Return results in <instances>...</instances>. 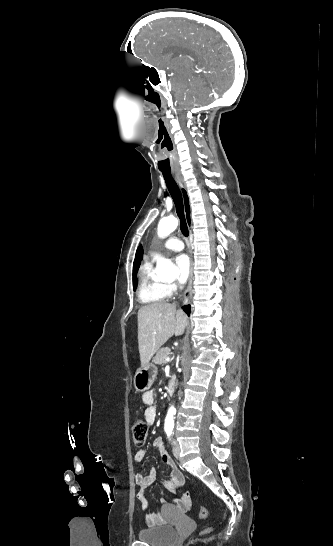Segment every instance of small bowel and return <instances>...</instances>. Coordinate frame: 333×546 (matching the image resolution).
<instances>
[{"mask_svg":"<svg viewBox=\"0 0 333 546\" xmlns=\"http://www.w3.org/2000/svg\"><path fill=\"white\" fill-rule=\"evenodd\" d=\"M142 401L146 405L145 421L148 425H152L157 416L155 408V395L152 391H147L142 394ZM153 446L160 454L161 461L170 469V479L162 481V485L171 493L176 491L184 484L183 473L175 466L172 457L166 451L162 438L157 437L153 441ZM146 457L145 450H138L135 454V461L142 462ZM135 483L138 486L137 498L141 503L144 511H146L145 520L150 526H161L166 524V513L173 511L174 507L166 501H163L161 512H148V501L146 498V490L153 485L157 478L154 468H151L147 474L137 473L134 476ZM175 505L181 511H187L191 506L190 494L186 492L182 497L175 498Z\"/></svg>","mask_w":333,"mask_h":546,"instance_id":"1","label":"small bowel"}]
</instances>
